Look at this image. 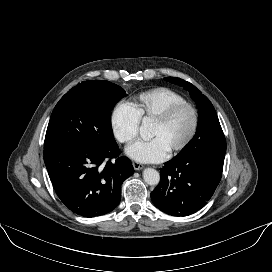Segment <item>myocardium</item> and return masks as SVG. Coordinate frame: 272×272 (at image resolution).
Instances as JSON below:
<instances>
[{"mask_svg":"<svg viewBox=\"0 0 272 272\" xmlns=\"http://www.w3.org/2000/svg\"><path fill=\"white\" fill-rule=\"evenodd\" d=\"M187 109L190 111L192 115V126L189 134L187 137L176 147L171 149L168 153L169 155H175L182 150H184L195 138L198 128H199V113L196 107L188 102H182V103H177L174 105H171L168 107L166 110H164L161 114L156 116L153 119V122L159 123V124H165L169 122L178 112L181 110Z\"/></svg>","mask_w":272,"mask_h":272,"instance_id":"myocardium-1","label":"myocardium"}]
</instances>
